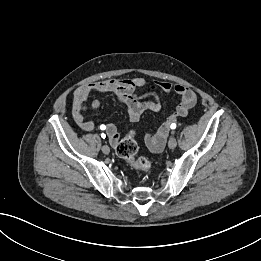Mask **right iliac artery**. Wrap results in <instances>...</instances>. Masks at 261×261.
Listing matches in <instances>:
<instances>
[{"label":"right iliac artery","instance_id":"1","mask_svg":"<svg viewBox=\"0 0 261 261\" xmlns=\"http://www.w3.org/2000/svg\"><path fill=\"white\" fill-rule=\"evenodd\" d=\"M100 128H101V130H104L105 129V125H101ZM101 137L104 139V138H106V135L104 133H102Z\"/></svg>","mask_w":261,"mask_h":261}]
</instances>
